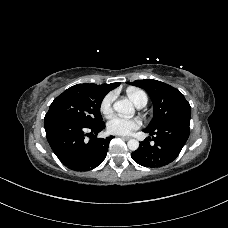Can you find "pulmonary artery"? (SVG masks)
<instances>
[{"label":"pulmonary artery","instance_id":"1","mask_svg":"<svg viewBox=\"0 0 228 228\" xmlns=\"http://www.w3.org/2000/svg\"><path fill=\"white\" fill-rule=\"evenodd\" d=\"M146 101L145 100H142V101H140V102H138L137 104H136V106L138 107V108H142V107H144L145 105H146Z\"/></svg>","mask_w":228,"mask_h":228}]
</instances>
